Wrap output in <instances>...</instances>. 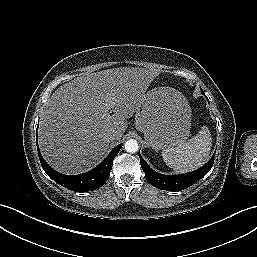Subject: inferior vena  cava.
I'll use <instances>...</instances> for the list:
<instances>
[{"instance_id": "1", "label": "inferior vena cava", "mask_w": 257, "mask_h": 257, "mask_svg": "<svg viewBox=\"0 0 257 257\" xmlns=\"http://www.w3.org/2000/svg\"><path fill=\"white\" fill-rule=\"evenodd\" d=\"M104 135L108 140H114L116 138L115 131H109V132L105 133Z\"/></svg>"}]
</instances>
